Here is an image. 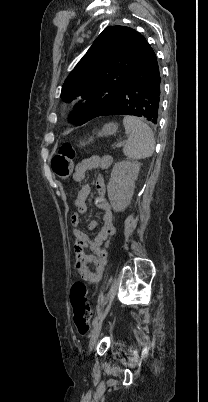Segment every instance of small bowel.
<instances>
[{
	"label": "small bowel",
	"instance_id": "obj_1",
	"mask_svg": "<svg viewBox=\"0 0 208 402\" xmlns=\"http://www.w3.org/2000/svg\"><path fill=\"white\" fill-rule=\"evenodd\" d=\"M112 164L110 156H92L79 162L73 172V179L76 182H83L86 179L87 172L91 169H106ZM95 187L98 193L97 206L102 210V228L95 238L92 245L93 254H87L84 250L87 245L85 234L78 228L80 223L79 214L87 211V198L90 195L91 187L85 184L77 189L75 196V205L77 212L71 215V223L74 226L72 235L75 239L74 256L75 266L83 279L91 284L97 283L102 279L103 270L106 263L108 240L115 234L116 222L113 211L105 198V179L102 174H98L95 179ZM98 226L96 220L89 223L90 229Z\"/></svg>",
	"mask_w": 208,
	"mask_h": 402
}]
</instances>
